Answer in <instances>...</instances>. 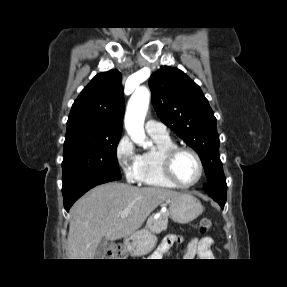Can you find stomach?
Segmentation results:
<instances>
[{
	"instance_id": "1",
	"label": "stomach",
	"mask_w": 287,
	"mask_h": 287,
	"mask_svg": "<svg viewBox=\"0 0 287 287\" xmlns=\"http://www.w3.org/2000/svg\"><path fill=\"white\" fill-rule=\"evenodd\" d=\"M203 211L200 201L191 194H180L171 198L169 214L173 221L187 224L195 220ZM157 243L156 236L147 229H143L128 236L124 246L133 256H142L153 250Z\"/></svg>"
}]
</instances>
